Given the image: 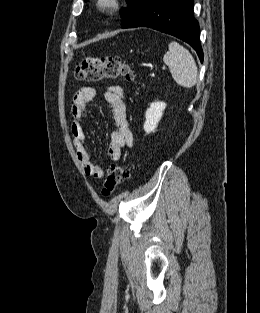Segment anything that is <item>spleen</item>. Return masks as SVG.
<instances>
[{"label":"spleen","mask_w":260,"mask_h":313,"mask_svg":"<svg viewBox=\"0 0 260 313\" xmlns=\"http://www.w3.org/2000/svg\"><path fill=\"white\" fill-rule=\"evenodd\" d=\"M163 61L176 83L185 88L193 87L198 79L197 65L190 52L179 43L173 41L168 45Z\"/></svg>","instance_id":"3e777b00"}]
</instances>
